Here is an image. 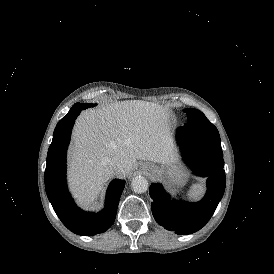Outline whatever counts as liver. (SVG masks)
Wrapping results in <instances>:
<instances>
[{
	"label": "liver",
	"mask_w": 274,
	"mask_h": 274,
	"mask_svg": "<svg viewBox=\"0 0 274 274\" xmlns=\"http://www.w3.org/2000/svg\"><path fill=\"white\" fill-rule=\"evenodd\" d=\"M170 117L160 105L141 100L88 109L77 119L71 150V183L80 204L89 206L115 173L128 175L136 160L172 161ZM124 166L115 170L109 160Z\"/></svg>",
	"instance_id": "1"
}]
</instances>
